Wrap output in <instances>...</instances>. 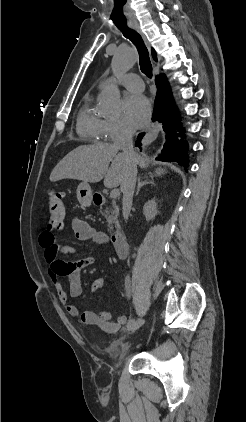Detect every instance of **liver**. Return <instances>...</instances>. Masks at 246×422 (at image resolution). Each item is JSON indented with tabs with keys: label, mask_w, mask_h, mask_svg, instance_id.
<instances>
[{
	"label": "liver",
	"mask_w": 246,
	"mask_h": 422,
	"mask_svg": "<svg viewBox=\"0 0 246 422\" xmlns=\"http://www.w3.org/2000/svg\"><path fill=\"white\" fill-rule=\"evenodd\" d=\"M119 149L108 143L79 146L67 154L53 169L50 181L76 179L83 182L97 183L104 178L107 188L122 185L128 164L126 157ZM111 166L109 167V164ZM149 164L147 156L137 155L136 165L146 168ZM163 169H157L156 175L164 174Z\"/></svg>",
	"instance_id": "1"
}]
</instances>
